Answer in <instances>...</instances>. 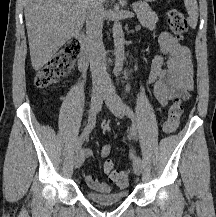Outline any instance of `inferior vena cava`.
Segmentation results:
<instances>
[{
    "instance_id": "1",
    "label": "inferior vena cava",
    "mask_w": 216,
    "mask_h": 217,
    "mask_svg": "<svg viewBox=\"0 0 216 217\" xmlns=\"http://www.w3.org/2000/svg\"><path fill=\"white\" fill-rule=\"evenodd\" d=\"M104 7L100 0H92L86 15V35L93 87L107 83L105 48L102 40Z\"/></svg>"
}]
</instances>
